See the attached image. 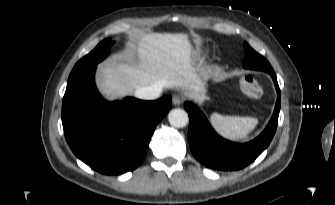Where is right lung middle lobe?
Masks as SVG:
<instances>
[{
    "label": "right lung middle lobe",
    "instance_id": "right-lung-middle-lobe-1",
    "mask_svg": "<svg viewBox=\"0 0 335 205\" xmlns=\"http://www.w3.org/2000/svg\"><path fill=\"white\" fill-rule=\"evenodd\" d=\"M114 42L111 41V39H105L102 42H100L93 51H91L88 55L84 56L82 59H80L76 65L74 66V68L72 69L70 76H73L75 74H77L78 72L89 68L91 66H95L96 64H98L99 62H101L102 60H104L110 51V46L113 44Z\"/></svg>",
    "mask_w": 335,
    "mask_h": 205
}]
</instances>
